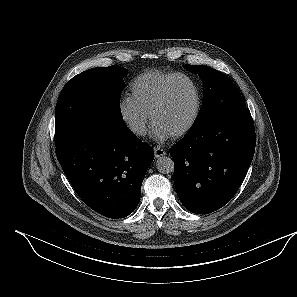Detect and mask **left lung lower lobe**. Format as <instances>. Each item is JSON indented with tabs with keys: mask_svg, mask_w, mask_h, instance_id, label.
<instances>
[{
	"mask_svg": "<svg viewBox=\"0 0 297 297\" xmlns=\"http://www.w3.org/2000/svg\"><path fill=\"white\" fill-rule=\"evenodd\" d=\"M255 144L254 123L246 106L191 128L170 149L175 188L184 207L208 214L227 204L246 176Z\"/></svg>",
	"mask_w": 297,
	"mask_h": 297,
	"instance_id": "left-lung-lower-lobe-1",
	"label": "left lung lower lobe"
}]
</instances>
